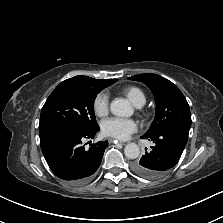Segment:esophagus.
<instances>
[{"label": "esophagus", "instance_id": "34e87169", "mask_svg": "<svg viewBox=\"0 0 223 223\" xmlns=\"http://www.w3.org/2000/svg\"><path fill=\"white\" fill-rule=\"evenodd\" d=\"M115 141L118 142V143H120V144H122V145H125L126 144V142H124V141H117V140H114V139H109V142L110 143H113V142L115 143Z\"/></svg>", "mask_w": 223, "mask_h": 223}]
</instances>
